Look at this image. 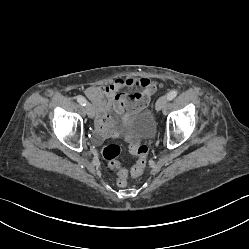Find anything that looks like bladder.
I'll return each instance as SVG.
<instances>
[{"mask_svg":"<svg viewBox=\"0 0 249 249\" xmlns=\"http://www.w3.org/2000/svg\"><path fill=\"white\" fill-rule=\"evenodd\" d=\"M111 122L114 124L115 131L133 138L148 139L154 132L151 113L148 109L133 114L130 119L124 121L114 114Z\"/></svg>","mask_w":249,"mask_h":249,"instance_id":"bladder-1","label":"bladder"}]
</instances>
